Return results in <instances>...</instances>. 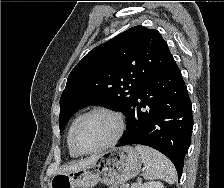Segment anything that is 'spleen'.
<instances>
[{"label":"spleen","mask_w":224,"mask_h":188,"mask_svg":"<svg viewBox=\"0 0 224 188\" xmlns=\"http://www.w3.org/2000/svg\"><path fill=\"white\" fill-rule=\"evenodd\" d=\"M135 149L141 155L145 165V171L142 174L145 179H162L169 184L176 181V169L167 157L147 146L136 145Z\"/></svg>","instance_id":"1"}]
</instances>
